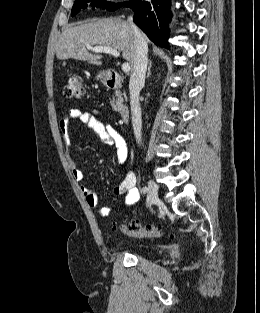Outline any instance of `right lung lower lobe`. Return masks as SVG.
I'll list each match as a JSON object with an SVG mask.
<instances>
[{
    "label": "right lung lower lobe",
    "instance_id": "obj_1",
    "mask_svg": "<svg viewBox=\"0 0 260 313\" xmlns=\"http://www.w3.org/2000/svg\"><path fill=\"white\" fill-rule=\"evenodd\" d=\"M124 5L133 9L135 24L152 42L160 47L168 48V23L172 16L170 0H151L150 2L131 0L124 2L122 6Z\"/></svg>",
    "mask_w": 260,
    "mask_h": 313
}]
</instances>
